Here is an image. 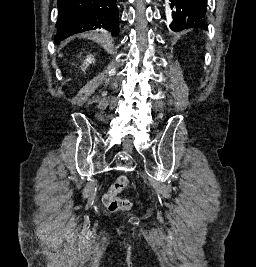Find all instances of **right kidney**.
<instances>
[{"instance_id": "right-kidney-1", "label": "right kidney", "mask_w": 256, "mask_h": 267, "mask_svg": "<svg viewBox=\"0 0 256 267\" xmlns=\"http://www.w3.org/2000/svg\"><path fill=\"white\" fill-rule=\"evenodd\" d=\"M87 62H89V64H91V62H92V58H87L85 64H87Z\"/></svg>"}]
</instances>
